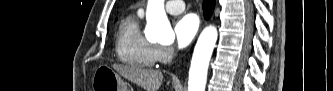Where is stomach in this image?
Listing matches in <instances>:
<instances>
[{
  "label": "stomach",
  "mask_w": 333,
  "mask_h": 91,
  "mask_svg": "<svg viewBox=\"0 0 333 91\" xmlns=\"http://www.w3.org/2000/svg\"><path fill=\"white\" fill-rule=\"evenodd\" d=\"M93 91H127L121 77L109 66H99L92 79Z\"/></svg>",
  "instance_id": "0dacf381"
}]
</instances>
